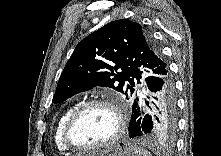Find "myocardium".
<instances>
[{"label": "myocardium", "mask_w": 221, "mask_h": 156, "mask_svg": "<svg viewBox=\"0 0 221 156\" xmlns=\"http://www.w3.org/2000/svg\"><path fill=\"white\" fill-rule=\"evenodd\" d=\"M107 107L109 108L115 115L116 118V129L114 133L104 142L95 144V145H80L76 143L71 135L73 126L77 122V120L81 117L83 113H85L88 109L92 107ZM125 129V118L120 109V107L111 99L100 98V99H92L78 105L68 116L66 119L63 130H62V140L64 144L72 150L77 151H90L97 150L101 148H105L114 142H116L121 135L123 134Z\"/></svg>", "instance_id": "f54148a6"}]
</instances>
